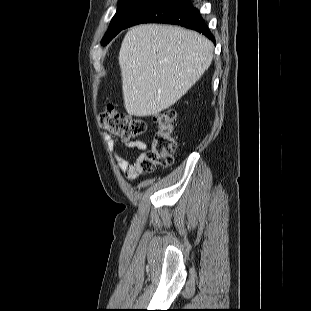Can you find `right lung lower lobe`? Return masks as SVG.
I'll list each match as a JSON object with an SVG mask.
<instances>
[{
    "instance_id": "98d812e1",
    "label": "right lung lower lobe",
    "mask_w": 311,
    "mask_h": 311,
    "mask_svg": "<svg viewBox=\"0 0 311 311\" xmlns=\"http://www.w3.org/2000/svg\"><path fill=\"white\" fill-rule=\"evenodd\" d=\"M140 23L180 25L204 34L215 43L214 36L190 0H157L139 12L126 28Z\"/></svg>"
}]
</instances>
